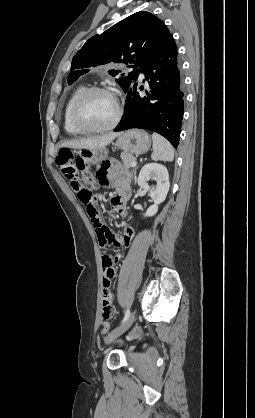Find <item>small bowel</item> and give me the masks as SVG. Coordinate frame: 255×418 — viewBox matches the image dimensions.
<instances>
[{
  "instance_id": "small-bowel-1",
  "label": "small bowel",
  "mask_w": 255,
  "mask_h": 418,
  "mask_svg": "<svg viewBox=\"0 0 255 418\" xmlns=\"http://www.w3.org/2000/svg\"><path fill=\"white\" fill-rule=\"evenodd\" d=\"M97 179L101 184L114 186L116 192L111 198L112 208L121 216L127 213L126 202L130 197L128 176L120 173L109 162L104 163L97 172ZM97 241L100 248L103 269V296L100 307L102 320H114L115 309L112 303L111 283L116 273V261L119 255H125L127 250L119 248L128 246L133 239V230L124 228L120 233H110L109 227H98ZM111 243L114 247H109Z\"/></svg>"
}]
</instances>
